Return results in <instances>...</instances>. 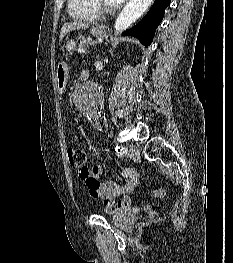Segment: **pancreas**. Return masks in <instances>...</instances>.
<instances>
[{
    "mask_svg": "<svg viewBox=\"0 0 233 263\" xmlns=\"http://www.w3.org/2000/svg\"><path fill=\"white\" fill-rule=\"evenodd\" d=\"M96 42L93 41L92 39H84V40H81L80 43H79V48H83L84 50H87L89 48V46H93L95 45Z\"/></svg>",
    "mask_w": 233,
    "mask_h": 263,
    "instance_id": "pancreas-1",
    "label": "pancreas"
}]
</instances>
